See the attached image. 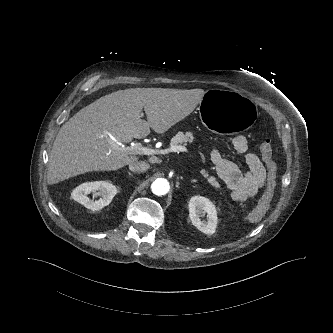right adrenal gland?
Instances as JSON below:
<instances>
[{
	"label": "right adrenal gland",
	"instance_id": "1",
	"mask_svg": "<svg viewBox=\"0 0 333 333\" xmlns=\"http://www.w3.org/2000/svg\"><path fill=\"white\" fill-rule=\"evenodd\" d=\"M128 174L132 176V173L128 171Z\"/></svg>",
	"mask_w": 333,
	"mask_h": 333
}]
</instances>
